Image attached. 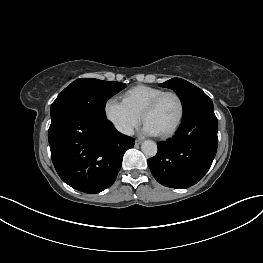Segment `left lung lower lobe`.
<instances>
[{"mask_svg":"<svg viewBox=\"0 0 263 263\" xmlns=\"http://www.w3.org/2000/svg\"><path fill=\"white\" fill-rule=\"evenodd\" d=\"M218 120L214 111L198 113L183 121L177 134L158 143L148 159L154 178L171 188H188L209 170L217 151Z\"/></svg>","mask_w":263,"mask_h":263,"instance_id":"1","label":"left lung lower lobe"}]
</instances>
